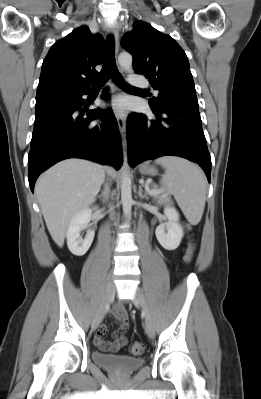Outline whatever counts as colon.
<instances>
[{
  "mask_svg": "<svg viewBox=\"0 0 261 399\" xmlns=\"http://www.w3.org/2000/svg\"><path fill=\"white\" fill-rule=\"evenodd\" d=\"M194 250H195V245L193 240H191L184 256V261L186 263H189L192 260ZM129 351L134 356L141 355L144 351V344L142 342H133L129 347Z\"/></svg>",
  "mask_w": 261,
  "mask_h": 399,
  "instance_id": "5ec220e1",
  "label": "colon"
}]
</instances>
